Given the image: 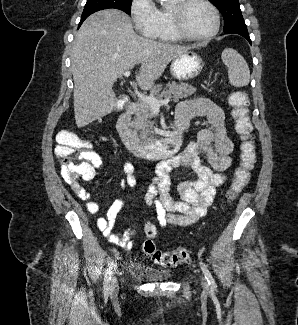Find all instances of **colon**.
Here are the masks:
<instances>
[{"label": "colon", "mask_w": 298, "mask_h": 325, "mask_svg": "<svg viewBox=\"0 0 298 325\" xmlns=\"http://www.w3.org/2000/svg\"><path fill=\"white\" fill-rule=\"evenodd\" d=\"M228 101L232 108L231 116L235 123V131L241 140L239 163L227 191V199L233 201L250 180L256 163V146L253 140L248 97L243 92L235 91L230 94ZM57 142L56 155L61 162L63 179L70 185L77 184L80 180L91 179L100 166V159L90 145L71 131L60 132ZM144 230L146 237L142 243V250L157 264L174 267L188 261L190 251L186 248L162 251L156 247L154 238L157 229L153 223H147Z\"/></svg>", "instance_id": "obj_1"}]
</instances>
